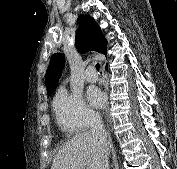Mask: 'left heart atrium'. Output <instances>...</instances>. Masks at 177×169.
<instances>
[{"instance_id":"obj_1","label":"left heart atrium","mask_w":177,"mask_h":169,"mask_svg":"<svg viewBox=\"0 0 177 169\" xmlns=\"http://www.w3.org/2000/svg\"><path fill=\"white\" fill-rule=\"evenodd\" d=\"M88 100L93 106L100 107L103 104V95L98 88L91 87L88 90Z\"/></svg>"}]
</instances>
